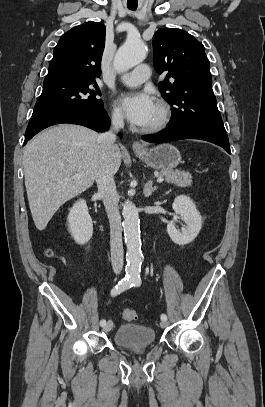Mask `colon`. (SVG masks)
I'll use <instances>...</instances> for the list:
<instances>
[{
  "label": "colon",
  "instance_id": "1",
  "mask_svg": "<svg viewBox=\"0 0 265 407\" xmlns=\"http://www.w3.org/2000/svg\"><path fill=\"white\" fill-rule=\"evenodd\" d=\"M47 255L52 257V256H54V252L49 249L47 251ZM123 318L126 321H135L139 317H138V314H137V312L135 310H133V309H125L124 312H123Z\"/></svg>",
  "mask_w": 265,
  "mask_h": 407
}]
</instances>
